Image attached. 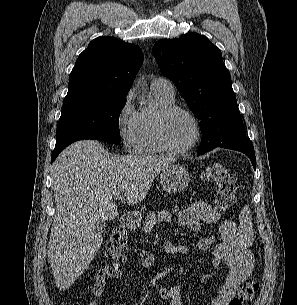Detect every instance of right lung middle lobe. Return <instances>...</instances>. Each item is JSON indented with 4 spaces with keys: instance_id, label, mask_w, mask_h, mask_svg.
Listing matches in <instances>:
<instances>
[{
    "instance_id": "right-lung-middle-lobe-1",
    "label": "right lung middle lobe",
    "mask_w": 297,
    "mask_h": 305,
    "mask_svg": "<svg viewBox=\"0 0 297 305\" xmlns=\"http://www.w3.org/2000/svg\"><path fill=\"white\" fill-rule=\"evenodd\" d=\"M126 96L82 98L63 103L57 126L56 149L81 139L120 143L119 115Z\"/></svg>"
}]
</instances>
